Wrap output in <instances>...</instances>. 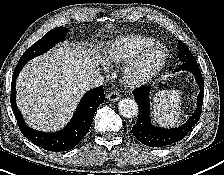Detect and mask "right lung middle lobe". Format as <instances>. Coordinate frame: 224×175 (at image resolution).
<instances>
[{"mask_svg": "<svg viewBox=\"0 0 224 175\" xmlns=\"http://www.w3.org/2000/svg\"><path fill=\"white\" fill-rule=\"evenodd\" d=\"M68 29L65 27H56L50 30L43 38L34 43L27 51L22 55L19 62L29 61L34 57L47 52L56 43L63 40L67 34Z\"/></svg>", "mask_w": 224, "mask_h": 175, "instance_id": "right-lung-middle-lobe-1", "label": "right lung middle lobe"}]
</instances>
